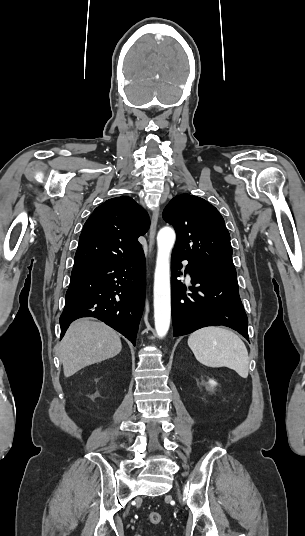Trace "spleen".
<instances>
[{"label": "spleen", "instance_id": "1", "mask_svg": "<svg viewBox=\"0 0 305 536\" xmlns=\"http://www.w3.org/2000/svg\"><path fill=\"white\" fill-rule=\"evenodd\" d=\"M196 360L208 368H230L241 378H248L249 358L246 346L239 336L225 328H201L188 338Z\"/></svg>", "mask_w": 305, "mask_h": 536}]
</instances>
